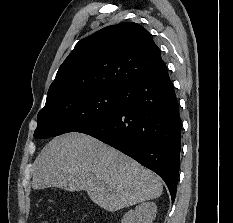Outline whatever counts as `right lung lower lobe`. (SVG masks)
<instances>
[{
  "instance_id": "1",
  "label": "right lung lower lobe",
  "mask_w": 233,
  "mask_h": 223,
  "mask_svg": "<svg viewBox=\"0 0 233 223\" xmlns=\"http://www.w3.org/2000/svg\"><path fill=\"white\" fill-rule=\"evenodd\" d=\"M91 135L156 172L176 196L181 120L167 67L120 88L119 109L82 127Z\"/></svg>"
}]
</instances>
